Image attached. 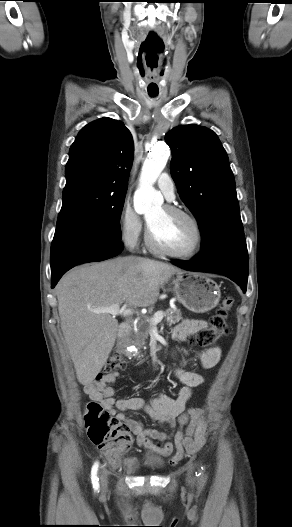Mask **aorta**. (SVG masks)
Instances as JSON below:
<instances>
[{"label": "aorta", "mask_w": 292, "mask_h": 527, "mask_svg": "<svg viewBox=\"0 0 292 527\" xmlns=\"http://www.w3.org/2000/svg\"><path fill=\"white\" fill-rule=\"evenodd\" d=\"M170 155L165 143L154 145L149 151L140 174L139 187L134 194V209L138 214H146L163 201L153 185L166 166Z\"/></svg>", "instance_id": "1"}]
</instances>
